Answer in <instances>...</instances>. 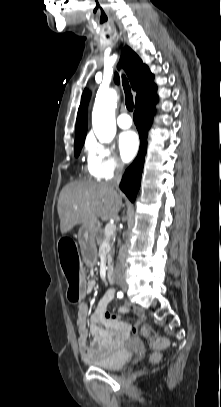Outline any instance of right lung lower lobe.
<instances>
[{
	"instance_id": "right-lung-lower-lobe-1",
	"label": "right lung lower lobe",
	"mask_w": 221,
	"mask_h": 407,
	"mask_svg": "<svg viewBox=\"0 0 221 407\" xmlns=\"http://www.w3.org/2000/svg\"><path fill=\"white\" fill-rule=\"evenodd\" d=\"M157 100V95L153 94L141 104L135 106L134 122L139 132L140 148L137 157L126 169L120 183V188L132 202L135 200L141 183L144 156L147 151V134L152 124L155 113L154 105Z\"/></svg>"
}]
</instances>
